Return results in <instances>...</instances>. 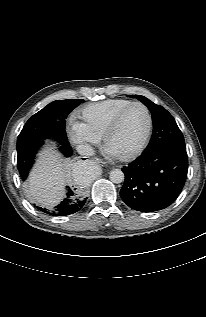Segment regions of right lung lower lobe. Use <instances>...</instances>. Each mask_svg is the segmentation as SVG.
<instances>
[{
  "label": "right lung lower lobe",
  "mask_w": 206,
  "mask_h": 317,
  "mask_svg": "<svg viewBox=\"0 0 206 317\" xmlns=\"http://www.w3.org/2000/svg\"><path fill=\"white\" fill-rule=\"evenodd\" d=\"M62 145L63 146H61V151L66 156H70L72 154V149L69 145V142L67 141L65 144ZM74 190L68 189L67 197L53 211L42 209L41 207L37 206L36 208L54 216H66L73 214L79 211L84 206L87 199L81 193H77Z\"/></svg>",
  "instance_id": "1"
}]
</instances>
